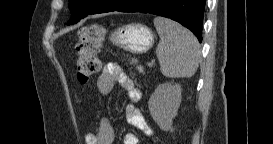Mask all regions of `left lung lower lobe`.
<instances>
[{
	"mask_svg": "<svg viewBox=\"0 0 273 144\" xmlns=\"http://www.w3.org/2000/svg\"><path fill=\"white\" fill-rule=\"evenodd\" d=\"M205 2L206 0H97L93 9L81 16L71 17L68 25L97 13L111 11L150 13L181 23L201 42Z\"/></svg>",
	"mask_w": 273,
	"mask_h": 144,
	"instance_id": "1",
	"label": "left lung lower lobe"
}]
</instances>
